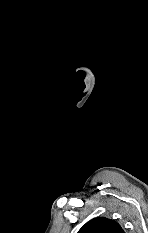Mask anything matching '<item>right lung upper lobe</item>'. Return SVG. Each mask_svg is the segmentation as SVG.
<instances>
[{
  "instance_id": "right-lung-upper-lobe-1",
  "label": "right lung upper lobe",
  "mask_w": 148,
  "mask_h": 233,
  "mask_svg": "<svg viewBox=\"0 0 148 233\" xmlns=\"http://www.w3.org/2000/svg\"><path fill=\"white\" fill-rule=\"evenodd\" d=\"M78 233H125L121 226L113 220L94 218L87 222Z\"/></svg>"
}]
</instances>
